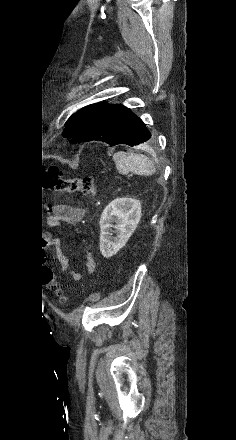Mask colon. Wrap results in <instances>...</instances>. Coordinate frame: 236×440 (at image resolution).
Segmentation results:
<instances>
[{"instance_id": "colon-1", "label": "colon", "mask_w": 236, "mask_h": 440, "mask_svg": "<svg viewBox=\"0 0 236 440\" xmlns=\"http://www.w3.org/2000/svg\"><path fill=\"white\" fill-rule=\"evenodd\" d=\"M46 187L51 191H60L75 194L80 198H90L96 194V185L93 177L84 176L76 178H65L61 169L56 165H50L44 173ZM45 285H54L51 290L56 294L61 303L66 302L58 285V276H45Z\"/></svg>"}]
</instances>
